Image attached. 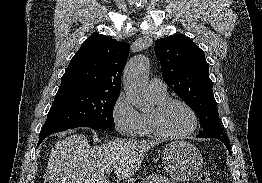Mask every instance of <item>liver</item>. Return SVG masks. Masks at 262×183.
<instances>
[{"label":"liver","mask_w":262,"mask_h":183,"mask_svg":"<svg viewBox=\"0 0 262 183\" xmlns=\"http://www.w3.org/2000/svg\"><path fill=\"white\" fill-rule=\"evenodd\" d=\"M159 141L117 138L101 146H90L83 134H73L52 148L44 183H110L107 170L119 180L140 168L145 153Z\"/></svg>","instance_id":"obj_1"}]
</instances>
